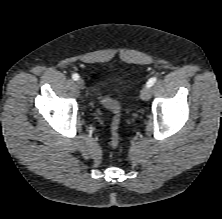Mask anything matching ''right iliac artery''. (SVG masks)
Masks as SVG:
<instances>
[{
  "label": "right iliac artery",
  "instance_id": "obj_1",
  "mask_svg": "<svg viewBox=\"0 0 222 219\" xmlns=\"http://www.w3.org/2000/svg\"><path fill=\"white\" fill-rule=\"evenodd\" d=\"M72 78H73V80H78L79 79V75L75 73V74L72 75Z\"/></svg>",
  "mask_w": 222,
  "mask_h": 219
}]
</instances>
